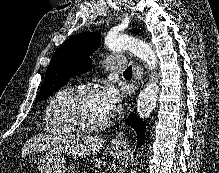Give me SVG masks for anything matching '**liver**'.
I'll return each instance as SVG.
<instances>
[{"mask_svg": "<svg viewBox=\"0 0 219 173\" xmlns=\"http://www.w3.org/2000/svg\"><path fill=\"white\" fill-rule=\"evenodd\" d=\"M105 139L97 136H66L52 138L49 135L38 134L26 142L22 155L32 151L53 150L69 155H90L103 146Z\"/></svg>", "mask_w": 219, "mask_h": 173, "instance_id": "liver-1", "label": "liver"}]
</instances>
